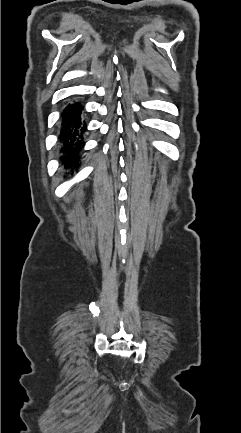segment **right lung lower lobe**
<instances>
[{
	"label": "right lung lower lobe",
	"instance_id": "1",
	"mask_svg": "<svg viewBox=\"0 0 241 433\" xmlns=\"http://www.w3.org/2000/svg\"><path fill=\"white\" fill-rule=\"evenodd\" d=\"M85 131L84 105L78 101H71L63 110L59 131L65 167L71 165L77 167L79 153L84 146L83 134Z\"/></svg>",
	"mask_w": 241,
	"mask_h": 433
}]
</instances>
